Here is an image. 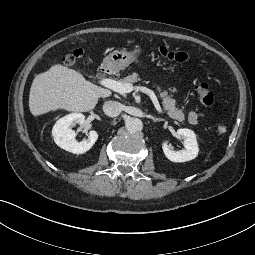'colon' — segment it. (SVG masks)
Segmentation results:
<instances>
[{
    "label": "colon",
    "mask_w": 255,
    "mask_h": 255,
    "mask_svg": "<svg viewBox=\"0 0 255 255\" xmlns=\"http://www.w3.org/2000/svg\"><path fill=\"white\" fill-rule=\"evenodd\" d=\"M159 53L163 58L170 61L187 62L191 59V54L189 52L171 50L167 48L166 46H160ZM84 61H85L84 51L79 50L75 52L73 55L66 58L64 60V64L75 65L79 62L82 63ZM195 88L198 92L201 103L205 107H212L215 104V101H216L215 94L209 89V85L207 82L201 81L197 83ZM227 130H228V127L226 124L222 123L218 126V132L221 134L226 133Z\"/></svg>",
    "instance_id": "colon-1"
}]
</instances>
